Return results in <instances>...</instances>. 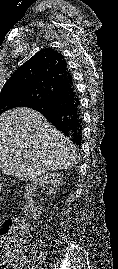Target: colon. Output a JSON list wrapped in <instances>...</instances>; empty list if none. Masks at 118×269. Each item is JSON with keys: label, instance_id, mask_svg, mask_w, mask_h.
Masks as SVG:
<instances>
[{"label": "colon", "instance_id": "5ec220e1", "mask_svg": "<svg viewBox=\"0 0 118 269\" xmlns=\"http://www.w3.org/2000/svg\"><path fill=\"white\" fill-rule=\"evenodd\" d=\"M0 231V269H15L16 246L25 232V224L19 218L9 219L1 224Z\"/></svg>", "mask_w": 118, "mask_h": 269}]
</instances>
